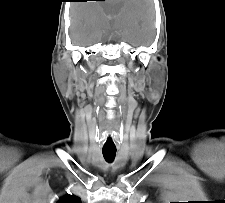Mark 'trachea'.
<instances>
[{
    "label": "trachea",
    "instance_id": "3493384b",
    "mask_svg": "<svg viewBox=\"0 0 225 203\" xmlns=\"http://www.w3.org/2000/svg\"><path fill=\"white\" fill-rule=\"evenodd\" d=\"M105 160L109 163L113 162L116 156V150H102Z\"/></svg>",
    "mask_w": 225,
    "mask_h": 203
}]
</instances>
